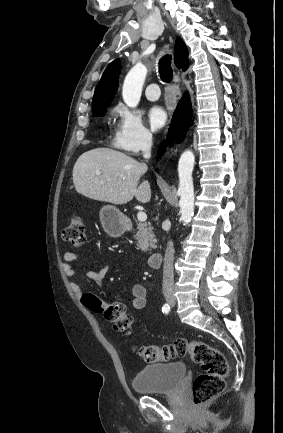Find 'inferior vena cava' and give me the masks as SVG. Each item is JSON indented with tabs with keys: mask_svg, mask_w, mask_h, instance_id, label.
Here are the masks:
<instances>
[{
	"mask_svg": "<svg viewBox=\"0 0 283 433\" xmlns=\"http://www.w3.org/2000/svg\"><path fill=\"white\" fill-rule=\"evenodd\" d=\"M151 138H144L141 150H143L144 158H150L151 156ZM173 259H174V245L172 241H169L167 249L165 251L164 257V267H163V293H173Z\"/></svg>",
	"mask_w": 283,
	"mask_h": 433,
	"instance_id": "obj_1",
	"label": "inferior vena cava"
}]
</instances>
